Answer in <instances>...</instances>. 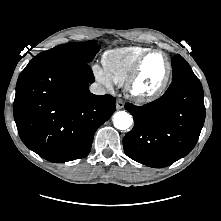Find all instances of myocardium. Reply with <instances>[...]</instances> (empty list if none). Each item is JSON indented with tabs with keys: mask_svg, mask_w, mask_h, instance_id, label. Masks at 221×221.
<instances>
[{
	"mask_svg": "<svg viewBox=\"0 0 221 221\" xmlns=\"http://www.w3.org/2000/svg\"><path fill=\"white\" fill-rule=\"evenodd\" d=\"M159 53L162 54L166 60L167 63V71L166 74L162 80V82L159 84V86L150 92H144L140 91L137 88V84L142 72L143 64L145 60L152 54ZM173 71L172 62L169 58V56L160 49H150L146 51L136 62L134 65L130 75L128 76V79L125 83V88L127 94L132 97L137 102H150L153 100L158 99L160 96L163 95V93L166 91L171 75Z\"/></svg>",
	"mask_w": 221,
	"mask_h": 221,
	"instance_id": "myocardium-1",
	"label": "myocardium"
}]
</instances>
